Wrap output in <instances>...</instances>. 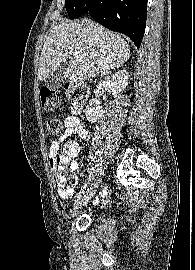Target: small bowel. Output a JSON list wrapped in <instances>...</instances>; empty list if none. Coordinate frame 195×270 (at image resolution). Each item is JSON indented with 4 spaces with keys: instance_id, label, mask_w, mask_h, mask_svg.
Returning <instances> with one entry per match:
<instances>
[{
    "instance_id": "small-bowel-1",
    "label": "small bowel",
    "mask_w": 195,
    "mask_h": 270,
    "mask_svg": "<svg viewBox=\"0 0 195 270\" xmlns=\"http://www.w3.org/2000/svg\"><path fill=\"white\" fill-rule=\"evenodd\" d=\"M64 125H65L64 132L61 134L58 140H54L51 142L49 150H48V155L50 158V167L52 171L54 170V167H55V159L58 155L61 142L65 141L73 134L78 135L81 139H88L90 137V132L83 126L80 119L76 116H73V115L67 116L64 119ZM72 167L74 170H76L78 168V163L74 161L72 163ZM72 193H73V189L71 190V192L65 195H60V196L63 199H67L71 197Z\"/></svg>"
}]
</instances>
